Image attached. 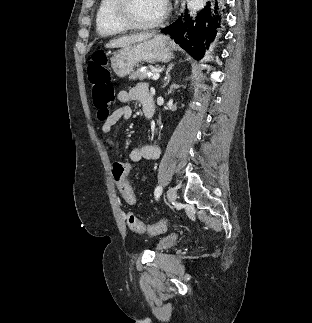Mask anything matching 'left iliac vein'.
<instances>
[{
	"mask_svg": "<svg viewBox=\"0 0 312 323\" xmlns=\"http://www.w3.org/2000/svg\"><path fill=\"white\" fill-rule=\"evenodd\" d=\"M177 197V191L174 187H170L168 192H167V199L170 202H174L176 200Z\"/></svg>",
	"mask_w": 312,
	"mask_h": 323,
	"instance_id": "left-iliac-vein-1",
	"label": "left iliac vein"
}]
</instances>
